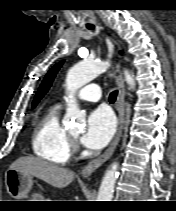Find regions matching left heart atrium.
Returning <instances> with one entry per match:
<instances>
[{
  "mask_svg": "<svg viewBox=\"0 0 176 211\" xmlns=\"http://www.w3.org/2000/svg\"><path fill=\"white\" fill-rule=\"evenodd\" d=\"M114 131L115 120L112 113L100 107L89 115L81 141L88 148L100 149L108 144Z\"/></svg>",
  "mask_w": 176,
  "mask_h": 211,
  "instance_id": "39dd6f15",
  "label": "left heart atrium"
}]
</instances>
